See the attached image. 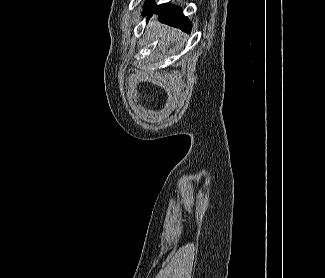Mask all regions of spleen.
<instances>
[{
    "label": "spleen",
    "instance_id": "obj_1",
    "mask_svg": "<svg viewBox=\"0 0 325 278\" xmlns=\"http://www.w3.org/2000/svg\"><path fill=\"white\" fill-rule=\"evenodd\" d=\"M170 40H172V41H173V37H171V38H170Z\"/></svg>",
    "mask_w": 325,
    "mask_h": 278
}]
</instances>
